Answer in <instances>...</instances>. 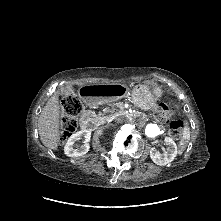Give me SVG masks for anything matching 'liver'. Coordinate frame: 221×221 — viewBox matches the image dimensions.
Instances as JSON below:
<instances>
[{"instance_id":"6515ba94","label":"liver","mask_w":221,"mask_h":221,"mask_svg":"<svg viewBox=\"0 0 221 221\" xmlns=\"http://www.w3.org/2000/svg\"><path fill=\"white\" fill-rule=\"evenodd\" d=\"M60 112L61 107L59 105L58 94H54L44 106L39 119H38V131L42 143L52 149L58 148V142L60 140Z\"/></svg>"}]
</instances>
